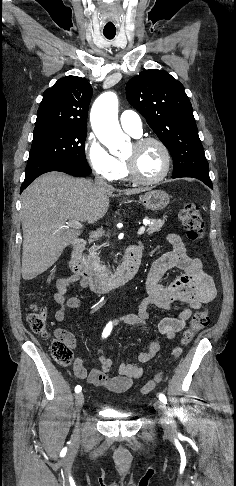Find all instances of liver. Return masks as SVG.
Listing matches in <instances>:
<instances>
[{
    "instance_id": "1",
    "label": "liver",
    "mask_w": 236,
    "mask_h": 486,
    "mask_svg": "<svg viewBox=\"0 0 236 486\" xmlns=\"http://www.w3.org/2000/svg\"><path fill=\"white\" fill-rule=\"evenodd\" d=\"M128 189L126 195L143 192ZM112 186L101 188L91 180L79 179L61 172H50L37 178L22 193V277L31 280L49 269L63 250L81 234L74 221L93 224L109 208ZM120 195V193H119Z\"/></svg>"
}]
</instances>
